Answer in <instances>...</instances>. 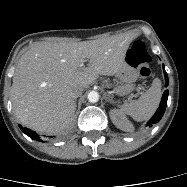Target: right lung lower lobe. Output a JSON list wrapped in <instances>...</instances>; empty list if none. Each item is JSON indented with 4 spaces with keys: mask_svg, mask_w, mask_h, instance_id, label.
<instances>
[{
    "mask_svg": "<svg viewBox=\"0 0 187 187\" xmlns=\"http://www.w3.org/2000/svg\"><path fill=\"white\" fill-rule=\"evenodd\" d=\"M20 129L26 134L28 135L31 139L33 140H37V141H42L40 140L38 134L28 128H23L21 125H19Z\"/></svg>",
    "mask_w": 187,
    "mask_h": 187,
    "instance_id": "98d812e1",
    "label": "right lung lower lobe"
}]
</instances>
